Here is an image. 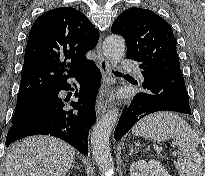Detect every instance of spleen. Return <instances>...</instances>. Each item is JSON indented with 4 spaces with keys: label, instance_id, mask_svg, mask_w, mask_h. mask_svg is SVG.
I'll return each instance as SVG.
<instances>
[{
    "label": "spleen",
    "instance_id": "3e777b00",
    "mask_svg": "<svg viewBox=\"0 0 205 176\" xmlns=\"http://www.w3.org/2000/svg\"><path fill=\"white\" fill-rule=\"evenodd\" d=\"M132 134L151 138L154 141L173 139L184 159L175 162L179 176H202V157L197 151L199 136L187 122L175 113L157 112L141 119L133 128Z\"/></svg>",
    "mask_w": 205,
    "mask_h": 176
}]
</instances>
